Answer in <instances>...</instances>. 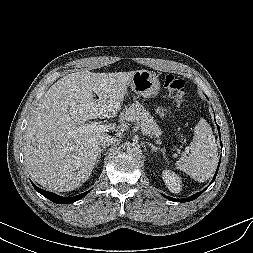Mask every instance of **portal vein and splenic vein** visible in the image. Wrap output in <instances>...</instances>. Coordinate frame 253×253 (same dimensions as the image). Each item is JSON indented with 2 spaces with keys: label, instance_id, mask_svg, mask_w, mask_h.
<instances>
[{
  "label": "portal vein and splenic vein",
  "instance_id": "portal-vein-and-splenic-vein-1",
  "mask_svg": "<svg viewBox=\"0 0 253 253\" xmlns=\"http://www.w3.org/2000/svg\"><path fill=\"white\" fill-rule=\"evenodd\" d=\"M83 128L87 130L95 131V132H103V131L108 130L107 125H101L99 122H96V121L91 122L90 124H88L87 126H84Z\"/></svg>",
  "mask_w": 253,
  "mask_h": 253
}]
</instances>
